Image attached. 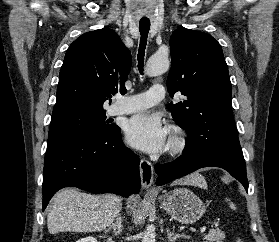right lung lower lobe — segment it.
I'll use <instances>...</instances> for the list:
<instances>
[{
    "label": "right lung lower lobe",
    "instance_id": "98d812e1",
    "mask_svg": "<svg viewBox=\"0 0 279 242\" xmlns=\"http://www.w3.org/2000/svg\"><path fill=\"white\" fill-rule=\"evenodd\" d=\"M64 187L124 197L139 193V158L123 144L119 127L104 137L76 140L46 151L42 210Z\"/></svg>",
    "mask_w": 279,
    "mask_h": 242
}]
</instances>
